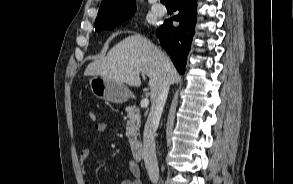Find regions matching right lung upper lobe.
I'll use <instances>...</instances> for the list:
<instances>
[{"instance_id": "obj_1", "label": "right lung upper lobe", "mask_w": 293, "mask_h": 184, "mask_svg": "<svg viewBox=\"0 0 293 184\" xmlns=\"http://www.w3.org/2000/svg\"><path fill=\"white\" fill-rule=\"evenodd\" d=\"M135 0H102L95 24L102 25L134 15Z\"/></svg>"}]
</instances>
